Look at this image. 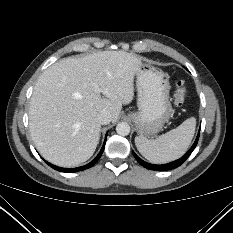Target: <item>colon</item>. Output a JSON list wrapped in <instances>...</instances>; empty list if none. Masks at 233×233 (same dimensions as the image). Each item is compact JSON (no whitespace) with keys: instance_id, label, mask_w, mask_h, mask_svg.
I'll return each instance as SVG.
<instances>
[{"instance_id":"obj_1","label":"colon","mask_w":233,"mask_h":233,"mask_svg":"<svg viewBox=\"0 0 233 233\" xmlns=\"http://www.w3.org/2000/svg\"><path fill=\"white\" fill-rule=\"evenodd\" d=\"M187 96H188V89L186 84L182 80L178 81L172 99L173 104L176 107L182 106L185 103Z\"/></svg>"}]
</instances>
